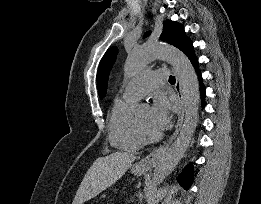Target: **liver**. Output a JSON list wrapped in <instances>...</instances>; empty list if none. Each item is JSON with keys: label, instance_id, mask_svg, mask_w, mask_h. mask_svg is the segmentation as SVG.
Returning a JSON list of instances; mask_svg holds the SVG:
<instances>
[{"label": "liver", "instance_id": "liver-1", "mask_svg": "<svg viewBox=\"0 0 261 204\" xmlns=\"http://www.w3.org/2000/svg\"><path fill=\"white\" fill-rule=\"evenodd\" d=\"M136 157L118 151L97 158L85 174L72 204H83L114 184L132 166Z\"/></svg>", "mask_w": 261, "mask_h": 204}]
</instances>
